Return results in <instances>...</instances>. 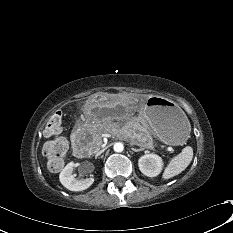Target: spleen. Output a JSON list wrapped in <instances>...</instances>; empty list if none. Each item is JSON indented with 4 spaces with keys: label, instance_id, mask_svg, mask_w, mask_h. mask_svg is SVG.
<instances>
[{
    "label": "spleen",
    "instance_id": "1",
    "mask_svg": "<svg viewBox=\"0 0 233 233\" xmlns=\"http://www.w3.org/2000/svg\"><path fill=\"white\" fill-rule=\"evenodd\" d=\"M193 158V149L190 146H186L180 154L175 156L167 165L163 172V179L172 178L182 171H184Z\"/></svg>",
    "mask_w": 233,
    "mask_h": 233
}]
</instances>
